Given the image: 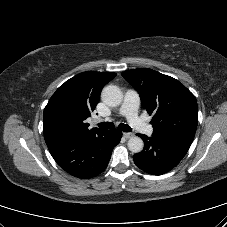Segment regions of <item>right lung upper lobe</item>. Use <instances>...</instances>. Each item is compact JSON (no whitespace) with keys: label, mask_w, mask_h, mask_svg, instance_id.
Here are the masks:
<instances>
[{"label":"right lung upper lobe","mask_w":227,"mask_h":227,"mask_svg":"<svg viewBox=\"0 0 227 227\" xmlns=\"http://www.w3.org/2000/svg\"><path fill=\"white\" fill-rule=\"evenodd\" d=\"M110 72H83L66 81L44 109L43 133L48 147L101 131L89 130L86 119L100 100L102 88L114 77Z\"/></svg>","instance_id":"1"}]
</instances>
